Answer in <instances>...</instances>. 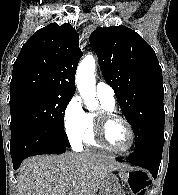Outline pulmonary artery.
<instances>
[{
  "mask_svg": "<svg viewBox=\"0 0 178 195\" xmlns=\"http://www.w3.org/2000/svg\"><path fill=\"white\" fill-rule=\"evenodd\" d=\"M96 95L98 98L110 103L115 104V92L113 88L106 82H99L96 86Z\"/></svg>",
  "mask_w": 178,
  "mask_h": 195,
  "instance_id": "pulmonary-artery-1",
  "label": "pulmonary artery"
}]
</instances>
